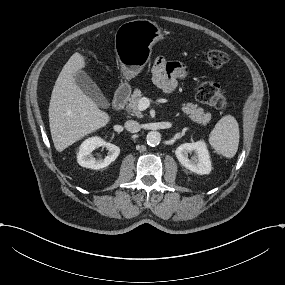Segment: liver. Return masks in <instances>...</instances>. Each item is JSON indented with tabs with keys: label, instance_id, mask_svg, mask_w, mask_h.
Wrapping results in <instances>:
<instances>
[{
	"label": "liver",
	"instance_id": "6515ba94",
	"mask_svg": "<svg viewBox=\"0 0 285 285\" xmlns=\"http://www.w3.org/2000/svg\"><path fill=\"white\" fill-rule=\"evenodd\" d=\"M84 67V56L74 53L61 70L51 94L49 124L58 152L110 121V116L100 110L76 84L75 75Z\"/></svg>",
	"mask_w": 285,
	"mask_h": 285
}]
</instances>
